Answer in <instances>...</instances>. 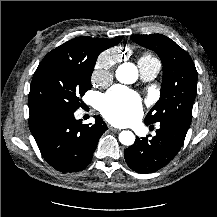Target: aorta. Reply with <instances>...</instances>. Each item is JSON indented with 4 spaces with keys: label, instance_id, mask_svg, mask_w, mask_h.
Wrapping results in <instances>:
<instances>
[{
    "label": "aorta",
    "instance_id": "aorta-1",
    "mask_svg": "<svg viewBox=\"0 0 217 217\" xmlns=\"http://www.w3.org/2000/svg\"><path fill=\"white\" fill-rule=\"evenodd\" d=\"M116 78L123 84H132L138 78V69L133 63H123L116 70ZM119 141L123 145L131 146L135 142V135L129 130H124L119 134Z\"/></svg>",
    "mask_w": 217,
    "mask_h": 217
}]
</instances>
